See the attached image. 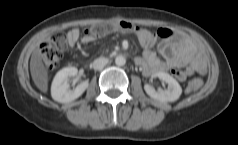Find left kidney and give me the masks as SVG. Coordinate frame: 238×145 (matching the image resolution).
Wrapping results in <instances>:
<instances>
[{
	"label": "left kidney",
	"mask_w": 238,
	"mask_h": 145,
	"mask_svg": "<svg viewBox=\"0 0 238 145\" xmlns=\"http://www.w3.org/2000/svg\"><path fill=\"white\" fill-rule=\"evenodd\" d=\"M152 77H158L160 80L168 83L167 90H155L151 85H144L145 92L153 99L161 102H174L179 99L182 88L180 84L170 74L157 72Z\"/></svg>",
	"instance_id": "5707ae66"
}]
</instances>
